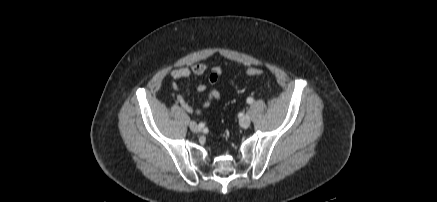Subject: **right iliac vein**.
Here are the masks:
<instances>
[{
	"label": "right iliac vein",
	"instance_id": "63e3f726",
	"mask_svg": "<svg viewBox=\"0 0 437 202\" xmlns=\"http://www.w3.org/2000/svg\"><path fill=\"white\" fill-rule=\"evenodd\" d=\"M190 129L195 133L201 132L202 130V128L194 121L190 122Z\"/></svg>",
	"mask_w": 437,
	"mask_h": 202
}]
</instances>
